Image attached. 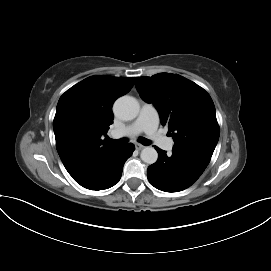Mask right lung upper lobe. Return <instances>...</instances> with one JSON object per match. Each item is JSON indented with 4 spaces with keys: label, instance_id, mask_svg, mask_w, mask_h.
Listing matches in <instances>:
<instances>
[{
    "label": "right lung upper lobe",
    "instance_id": "1",
    "mask_svg": "<svg viewBox=\"0 0 271 271\" xmlns=\"http://www.w3.org/2000/svg\"><path fill=\"white\" fill-rule=\"evenodd\" d=\"M134 80V77L91 76L60 97L53 121L56 148L75 181L117 147L103 136L113 123L114 101L132 88Z\"/></svg>",
    "mask_w": 271,
    "mask_h": 271
}]
</instances>
